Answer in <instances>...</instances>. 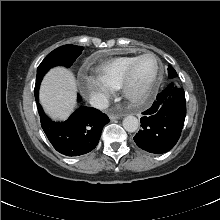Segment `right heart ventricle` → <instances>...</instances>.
<instances>
[{"mask_svg": "<svg viewBox=\"0 0 220 220\" xmlns=\"http://www.w3.org/2000/svg\"><path fill=\"white\" fill-rule=\"evenodd\" d=\"M136 58L137 55L115 57L98 65L95 71L100 78L117 89L121 87L128 67Z\"/></svg>", "mask_w": 220, "mask_h": 220, "instance_id": "1", "label": "right heart ventricle"}]
</instances>
